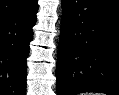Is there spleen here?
Wrapping results in <instances>:
<instances>
[{
	"label": "spleen",
	"instance_id": "spleen-1",
	"mask_svg": "<svg viewBox=\"0 0 119 95\" xmlns=\"http://www.w3.org/2000/svg\"><path fill=\"white\" fill-rule=\"evenodd\" d=\"M81 95H101V94H99V93H94V94H93V93H92V94L89 93V94H85V93H84V94H81Z\"/></svg>",
	"mask_w": 119,
	"mask_h": 95
}]
</instances>
